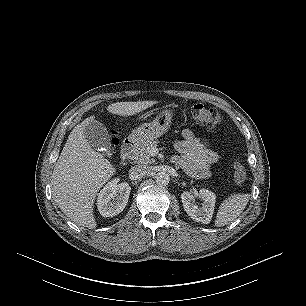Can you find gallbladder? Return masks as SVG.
I'll list each match as a JSON object with an SVG mask.
<instances>
[{
    "label": "gallbladder",
    "instance_id": "gallbladder-1",
    "mask_svg": "<svg viewBox=\"0 0 306 306\" xmlns=\"http://www.w3.org/2000/svg\"><path fill=\"white\" fill-rule=\"evenodd\" d=\"M86 140L91 148L108 150L111 146L110 135L106 127L99 121H91L84 129Z\"/></svg>",
    "mask_w": 306,
    "mask_h": 306
}]
</instances>
